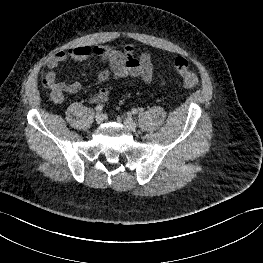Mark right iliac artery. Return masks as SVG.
<instances>
[{"label": "right iliac artery", "instance_id": "1", "mask_svg": "<svg viewBox=\"0 0 263 263\" xmlns=\"http://www.w3.org/2000/svg\"><path fill=\"white\" fill-rule=\"evenodd\" d=\"M95 109H96V111L100 112V111H102V109H103V105H100V104H99V105L96 106Z\"/></svg>", "mask_w": 263, "mask_h": 263}]
</instances>
